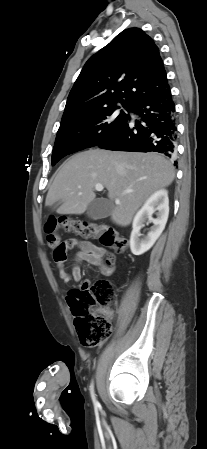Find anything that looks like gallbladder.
Returning a JSON list of instances; mask_svg holds the SVG:
<instances>
[{
    "label": "gallbladder",
    "instance_id": "bac80fb5",
    "mask_svg": "<svg viewBox=\"0 0 207 449\" xmlns=\"http://www.w3.org/2000/svg\"><path fill=\"white\" fill-rule=\"evenodd\" d=\"M112 203L105 198L94 199L87 208V215L93 219H103L111 215Z\"/></svg>",
    "mask_w": 207,
    "mask_h": 449
}]
</instances>
